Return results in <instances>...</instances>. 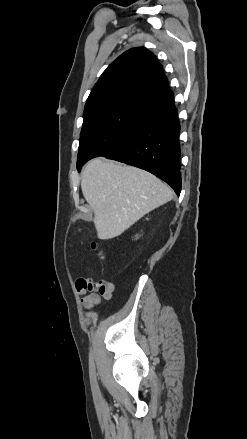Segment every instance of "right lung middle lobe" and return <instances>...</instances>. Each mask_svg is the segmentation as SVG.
<instances>
[{
	"label": "right lung middle lobe",
	"instance_id": "obj_1",
	"mask_svg": "<svg viewBox=\"0 0 247 439\" xmlns=\"http://www.w3.org/2000/svg\"><path fill=\"white\" fill-rule=\"evenodd\" d=\"M153 112L130 102L112 101L84 110L77 157L78 170L102 156L137 130Z\"/></svg>",
	"mask_w": 247,
	"mask_h": 439
}]
</instances>
